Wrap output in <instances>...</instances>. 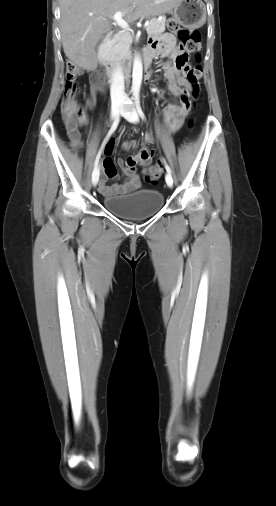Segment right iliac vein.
<instances>
[{
  "instance_id": "1",
  "label": "right iliac vein",
  "mask_w": 276,
  "mask_h": 506,
  "mask_svg": "<svg viewBox=\"0 0 276 506\" xmlns=\"http://www.w3.org/2000/svg\"><path fill=\"white\" fill-rule=\"evenodd\" d=\"M120 110H121V105H116V106H113V108H112V113H111L112 118H117V116H118V114H119ZM98 172H99V170H98V168H97V169H96V171H95V173L97 174ZM92 183H93V185H94V186H96V185H97V183H98L97 176H92Z\"/></svg>"
}]
</instances>
